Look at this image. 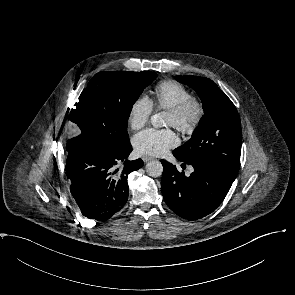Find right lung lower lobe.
<instances>
[{
    "instance_id": "98d812e1",
    "label": "right lung lower lobe",
    "mask_w": 295,
    "mask_h": 295,
    "mask_svg": "<svg viewBox=\"0 0 295 295\" xmlns=\"http://www.w3.org/2000/svg\"><path fill=\"white\" fill-rule=\"evenodd\" d=\"M131 151L130 143L113 148L96 141L68 151L65 170L70 190L85 217L105 221L123 208L129 195L128 175L143 166L141 159L127 160ZM120 162L124 167L119 170Z\"/></svg>"
}]
</instances>
